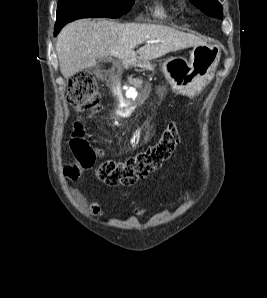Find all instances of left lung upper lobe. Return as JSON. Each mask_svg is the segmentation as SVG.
<instances>
[{
	"mask_svg": "<svg viewBox=\"0 0 267 298\" xmlns=\"http://www.w3.org/2000/svg\"><path fill=\"white\" fill-rule=\"evenodd\" d=\"M197 8L210 17L222 18V6L217 0H190Z\"/></svg>",
	"mask_w": 267,
	"mask_h": 298,
	"instance_id": "left-lung-upper-lobe-1",
	"label": "left lung upper lobe"
}]
</instances>
